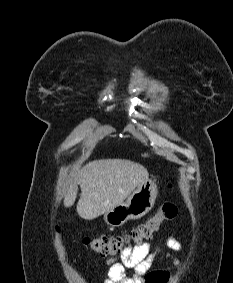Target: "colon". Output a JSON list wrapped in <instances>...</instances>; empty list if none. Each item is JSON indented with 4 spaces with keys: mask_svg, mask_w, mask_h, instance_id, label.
<instances>
[{
    "mask_svg": "<svg viewBox=\"0 0 233 283\" xmlns=\"http://www.w3.org/2000/svg\"><path fill=\"white\" fill-rule=\"evenodd\" d=\"M177 206L170 200L163 202L158 212L149 217L125 235H102L85 238L84 243L101 256H113L122 253L131 244H140L150 239L159 229L163 221L172 220L177 216Z\"/></svg>",
    "mask_w": 233,
    "mask_h": 283,
    "instance_id": "5ec220e1",
    "label": "colon"
}]
</instances>
